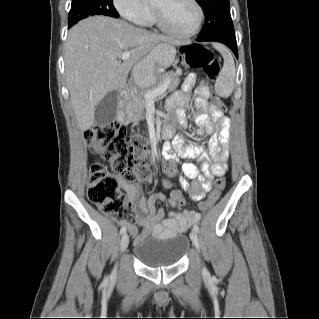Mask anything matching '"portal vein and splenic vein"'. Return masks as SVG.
Wrapping results in <instances>:
<instances>
[{"instance_id": "obj_1", "label": "portal vein and splenic vein", "mask_w": 319, "mask_h": 319, "mask_svg": "<svg viewBox=\"0 0 319 319\" xmlns=\"http://www.w3.org/2000/svg\"><path fill=\"white\" fill-rule=\"evenodd\" d=\"M131 52H122L120 55V58L122 60H128L130 58ZM168 88V81H166L163 85L153 89V90H149L145 93V98L146 99H153L155 97H157L158 95L164 93Z\"/></svg>"}]
</instances>
